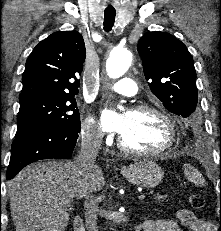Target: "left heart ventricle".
Wrapping results in <instances>:
<instances>
[{"label": "left heart ventricle", "mask_w": 221, "mask_h": 231, "mask_svg": "<svg viewBox=\"0 0 221 231\" xmlns=\"http://www.w3.org/2000/svg\"><path fill=\"white\" fill-rule=\"evenodd\" d=\"M127 127L121 134L123 143L138 150H156L168 141L165 122L152 113H126Z\"/></svg>", "instance_id": "1"}]
</instances>
